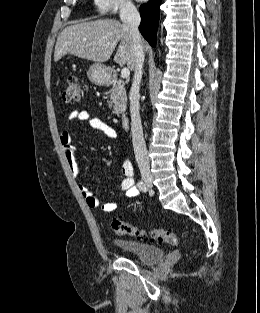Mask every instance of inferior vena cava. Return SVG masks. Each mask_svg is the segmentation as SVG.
<instances>
[{
  "mask_svg": "<svg viewBox=\"0 0 260 313\" xmlns=\"http://www.w3.org/2000/svg\"><path fill=\"white\" fill-rule=\"evenodd\" d=\"M120 19L126 25L133 39L135 54V72L133 83L130 90V114H131V132L135 158L139 167H149V158L147 156L146 144L143 138V130L140 118V82L142 79V68L144 63V49L139 32L140 14L133 3L125 1L120 6Z\"/></svg>",
  "mask_w": 260,
  "mask_h": 313,
  "instance_id": "602c4592",
  "label": "inferior vena cava"
}]
</instances>
